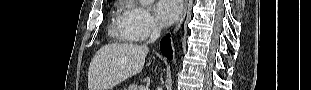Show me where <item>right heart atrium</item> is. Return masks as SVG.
Wrapping results in <instances>:
<instances>
[{"label":"right heart atrium","instance_id":"1","mask_svg":"<svg viewBox=\"0 0 311 90\" xmlns=\"http://www.w3.org/2000/svg\"><path fill=\"white\" fill-rule=\"evenodd\" d=\"M122 25L126 34L135 41H144L159 30V25L150 11L135 1L128 2Z\"/></svg>","mask_w":311,"mask_h":90}]
</instances>
